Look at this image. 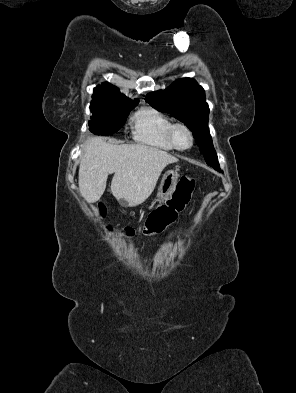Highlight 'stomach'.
<instances>
[{"instance_id": "0dacf381", "label": "stomach", "mask_w": 296, "mask_h": 393, "mask_svg": "<svg viewBox=\"0 0 296 393\" xmlns=\"http://www.w3.org/2000/svg\"><path fill=\"white\" fill-rule=\"evenodd\" d=\"M179 174L174 170H168L164 173L157 191L156 201L164 202L176 189Z\"/></svg>"}]
</instances>
